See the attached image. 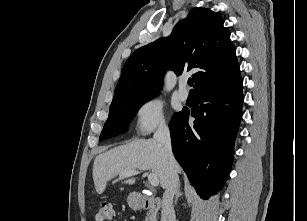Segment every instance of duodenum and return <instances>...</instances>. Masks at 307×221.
<instances>
[{
    "mask_svg": "<svg viewBox=\"0 0 307 221\" xmlns=\"http://www.w3.org/2000/svg\"><path fill=\"white\" fill-rule=\"evenodd\" d=\"M134 205L139 210H149L152 218H155L156 214L161 208L162 200L159 198L135 195Z\"/></svg>",
    "mask_w": 307,
    "mask_h": 221,
    "instance_id": "410a0bca",
    "label": "duodenum"
}]
</instances>
